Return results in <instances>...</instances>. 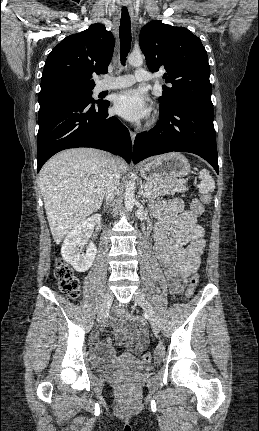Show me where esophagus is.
<instances>
[{"label":"esophagus","mask_w":259,"mask_h":431,"mask_svg":"<svg viewBox=\"0 0 259 431\" xmlns=\"http://www.w3.org/2000/svg\"><path fill=\"white\" fill-rule=\"evenodd\" d=\"M125 4H126V6L128 7V10H129L130 16L132 17V16H133V10H132V8L129 6V2H128V0H126ZM129 133H130L131 140H132V142L134 143V141H135V137H136V134H135V132H133V131H131V130H130V132H129Z\"/></svg>","instance_id":"esophagus-1"}]
</instances>
